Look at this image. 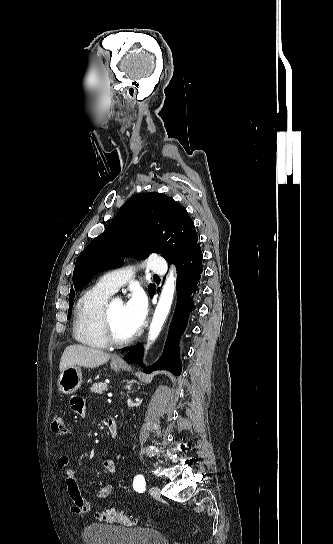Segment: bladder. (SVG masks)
Listing matches in <instances>:
<instances>
[{
	"instance_id": "bladder-1",
	"label": "bladder",
	"mask_w": 333,
	"mask_h": 544,
	"mask_svg": "<svg viewBox=\"0 0 333 544\" xmlns=\"http://www.w3.org/2000/svg\"><path fill=\"white\" fill-rule=\"evenodd\" d=\"M85 544H170L167 537L152 528H126L91 523L82 532Z\"/></svg>"
}]
</instances>
